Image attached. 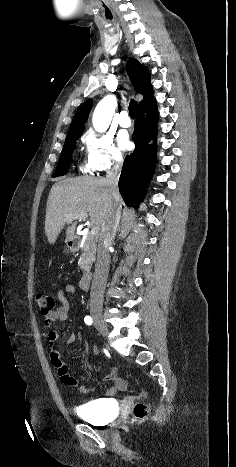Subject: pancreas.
<instances>
[{
	"instance_id": "pancreas-1",
	"label": "pancreas",
	"mask_w": 236,
	"mask_h": 467,
	"mask_svg": "<svg viewBox=\"0 0 236 467\" xmlns=\"http://www.w3.org/2000/svg\"><path fill=\"white\" fill-rule=\"evenodd\" d=\"M95 254H96V241L95 239L89 234L86 237L84 242V246L82 248V254L79 260V266L84 274L89 273V270L95 261Z\"/></svg>"
}]
</instances>
